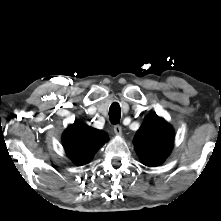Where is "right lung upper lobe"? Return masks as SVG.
I'll list each match as a JSON object with an SVG mask.
<instances>
[{"label":"right lung upper lobe","instance_id":"1","mask_svg":"<svg viewBox=\"0 0 221 221\" xmlns=\"http://www.w3.org/2000/svg\"><path fill=\"white\" fill-rule=\"evenodd\" d=\"M108 137L104 132L75 122L63 135V146L68 156L77 164L84 165L91 161L96 151Z\"/></svg>","mask_w":221,"mask_h":221}]
</instances>
